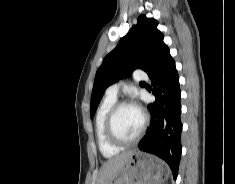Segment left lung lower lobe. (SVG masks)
Wrapping results in <instances>:
<instances>
[{"label":"left lung lower lobe","mask_w":235,"mask_h":184,"mask_svg":"<svg viewBox=\"0 0 235 184\" xmlns=\"http://www.w3.org/2000/svg\"><path fill=\"white\" fill-rule=\"evenodd\" d=\"M147 74L152 81L156 100L148 106L151 125L139 149L165 160L176 179L181 158L182 132L179 76L164 42L159 45Z\"/></svg>","instance_id":"obj_1"}]
</instances>
